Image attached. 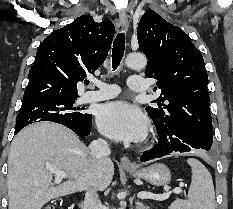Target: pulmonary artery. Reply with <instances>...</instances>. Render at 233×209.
I'll return each mask as SVG.
<instances>
[{"instance_id": "pulmonary-artery-1", "label": "pulmonary artery", "mask_w": 233, "mask_h": 209, "mask_svg": "<svg viewBox=\"0 0 233 209\" xmlns=\"http://www.w3.org/2000/svg\"><path fill=\"white\" fill-rule=\"evenodd\" d=\"M92 85L97 89L87 91L82 95V101L85 103L113 98L119 93V88L114 84L93 80ZM128 85L129 88L135 92H143L147 89L146 79L138 75L131 76L128 79Z\"/></svg>"}]
</instances>
